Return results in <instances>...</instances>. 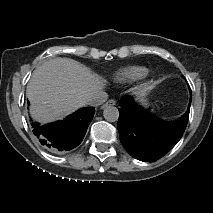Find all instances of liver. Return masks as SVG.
I'll return each mask as SVG.
<instances>
[{"label":"liver","mask_w":213,"mask_h":213,"mask_svg":"<svg viewBox=\"0 0 213 213\" xmlns=\"http://www.w3.org/2000/svg\"><path fill=\"white\" fill-rule=\"evenodd\" d=\"M104 81L79 62L57 57L36 68L26 97L32 117L48 123L62 119L85 105V100L104 88Z\"/></svg>","instance_id":"liver-1"}]
</instances>
